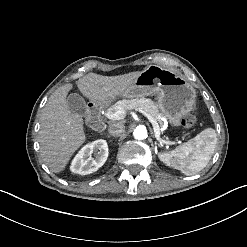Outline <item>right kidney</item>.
I'll list each match as a JSON object with an SVG mask.
<instances>
[{"mask_svg": "<svg viewBox=\"0 0 247 247\" xmlns=\"http://www.w3.org/2000/svg\"><path fill=\"white\" fill-rule=\"evenodd\" d=\"M94 154L95 158H92ZM108 144L104 139H98L86 144L72 160L70 170L73 173L87 175L97 171L108 158Z\"/></svg>", "mask_w": 247, "mask_h": 247, "instance_id": "1", "label": "right kidney"}]
</instances>
